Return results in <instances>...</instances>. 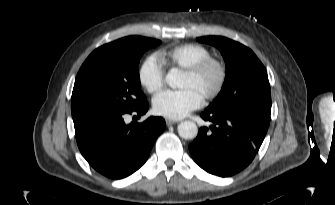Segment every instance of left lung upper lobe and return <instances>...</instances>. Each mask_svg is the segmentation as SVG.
I'll return each mask as SVG.
<instances>
[{"label":"left lung upper lobe","mask_w":335,"mask_h":205,"mask_svg":"<svg viewBox=\"0 0 335 205\" xmlns=\"http://www.w3.org/2000/svg\"><path fill=\"white\" fill-rule=\"evenodd\" d=\"M217 47L226 64L221 92L207 110L251 109L270 116L271 91L267 71L246 46L221 36L197 38Z\"/></svg>","instance_id":"left-lung-upper-lobe-1"}]
</instances>
